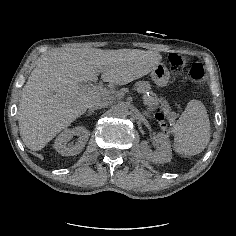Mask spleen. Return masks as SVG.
Segmentation results:
<instances>
[{
  "mask_svg": "<svg viewBox=\"0 0 236 236\" xmlns=\"http://www.w3.org/2000/svg\"><path fill=\"white\" fill-rule=\"evenodd\" d=\"M210 122L202 102L191 100L174 127L175 152L192 156L201 153L210 140Z\"/></svg>",
  "mask_w": 236,
  "mask_h": 236,
  "instance_id": "3e777b00",
  "label": "spleen"
}]
</instances>
